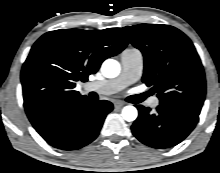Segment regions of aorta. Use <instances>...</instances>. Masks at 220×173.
<instances>
[{
    "label": "aorta",
    "instance_id": "762f6f07",
    "mask_svg": "<svg viewBox=\"0 0 220 173\" xmlns=\"http://www.w3.org/2000/svg\"><path fill=\"white\" fill-rule=\"evenodd\" d=\"M101 72L106 78H115L120 73V64L114 59H107L101 66ZM122 117L128 121H135L138 117V111L136 107L128 105L122 109Z\"/></svg>",
    "mask_w": 220,
    "mask_h": 173
}]
</instances>
